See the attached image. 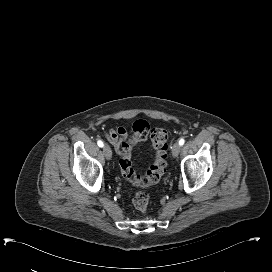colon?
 I'll return each mask as SVG.
<instances>
[{
	"mask_svg": "<svg viewBox=\"0 0 272 272\" xmlns=\"http://www.w3.org/2000/svg\"><path fill=\"white\" fill-rule=\"evenodd\" d=\"M132 138L123 143L120 148L119 165L123 177L131 183L141 187H150L156 184L164 175L167 166L168 131L163 127H151L144 119L133 123ZM147 139H150L155 150V159L145 176H137L132 166V148ZM133 208L141 214L148 210L149 196L144 192L136 193L132 198Z\"/></svg>",
	"mask_w": 272,
	"mask_h": 272,
	"instance_id": "colon-1",
	"label": "colon"
}]
</instances>
